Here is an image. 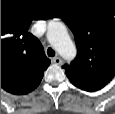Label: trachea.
Returning a JSON list of instances; mask_svg holds the SVG:
<instances>
[{
  "label": "trachea",
  "instance_id": "obj_1",
  "mask_svg": "<svg viewBox=\"0 0 115 114\" xmlns=\"http://www.w3.org/2000/svg\"><path fill=\"white\" fill-rule=\"evenodd\" d=\"M47 54L49 57H54L55 56V51L52 48H48Z\"/></svg>",
  "mask_w": 115,
  "mask_h": 114
}]
</instances>
